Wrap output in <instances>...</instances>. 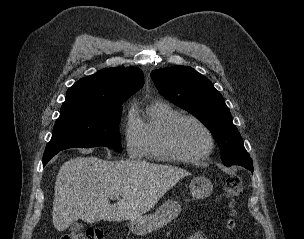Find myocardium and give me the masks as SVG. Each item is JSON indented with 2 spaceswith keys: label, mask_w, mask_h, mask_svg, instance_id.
<instances>
[{
  "label": "myocardium",
  "mask_w": 304,
  "mask_h": 239,
  "mask_svg": "<svg viewBox=\"0 0 304 239\" xmlns=\"http://www.w3.org/2000/svg\"><path fill=\"white\" fill-rule=\"evenodd\" d=\"M190 120L199 125L205 132L208 138V146L206 150L197 155H188L183 153L175 143V131L178 125L185 121ZM215 146L214 136L210 128L198 117L191 114H179L174 117L166 126L163 135V147L167 154L172 158L173 161L184 162V163H195L202 161L210 156Z\"/></svg>",
  "instance_id": "myocardium-1"
}]
</instances>
